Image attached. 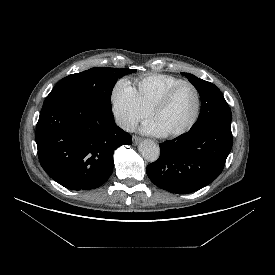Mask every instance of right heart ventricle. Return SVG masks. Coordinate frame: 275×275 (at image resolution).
Listing matches in <instances>:
<instances>
[{"label":"right heart ventricle","mask_w":275,"mask_h":275,"mask_svg":"<svg viewBox=\"0 0 275 275\" xmlns=\"http://www.w3.org/2000/svg\"><path fill=\"white\" fill-rule=\"evenodd\" d=\"M183 81L166 74H151L137 80V94L143 105L151 111L162 95L175 84Z\"/></svg>","instance_id":"e07e8e85"}]
</instances>
